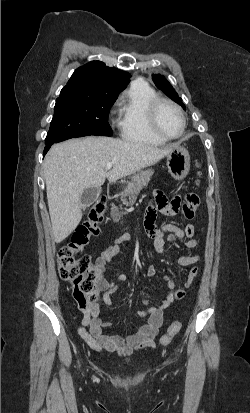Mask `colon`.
<instances>
[{
  "label": "colon",
  "mask_w": 250,
  "mask_h": 413,
  "mask_svg": "<svg viewBox=\"0 0 250 413\" xmlns=\"http://www.w3.org/2000/svg\"><path fill=\"white\" fill-rule=\"evenodd\" d=\"M199 166V164H198ZM200 204L197 193L190 192L185 196L179 207L183 219H192ZM106 212V204L103 199L98 200L91 208L88 219L78 226L71 241L58 252L57 264L59 276L72 284L73 296L79 306L89 307L97 305L99 295L97 280L99 273L87 257L76 258L89 243L91 237L98 234V224ZM182 323L174 321L160 338L161 345H168L180 332Z\"/></svg>",
  "instance_id": "1"
}]
</instances>
